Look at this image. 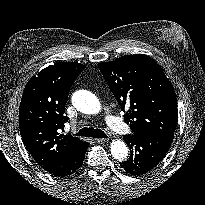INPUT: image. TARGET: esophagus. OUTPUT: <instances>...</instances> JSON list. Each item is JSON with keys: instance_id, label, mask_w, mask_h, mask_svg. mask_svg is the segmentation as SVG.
<instances>
[{"instance_id": "esophagus-1", "label": "esophagus", "mask_w": 205, "mask_h": 205, "mask_svg": "<svg viewBox=\"0 0 205 205\" xmlns=\"http://www.w3.org/2000/svg\"><path fill=\"white\" fill-rule=\"evenodd\" d=\"M96 141L98 143H106V142H108V139H106V138H98V139H96Z\"/></svg>"}]
</instances>
